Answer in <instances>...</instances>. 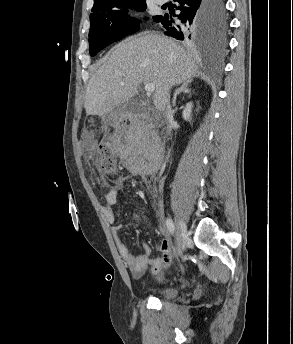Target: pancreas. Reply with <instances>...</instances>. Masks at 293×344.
Wrapping results in <instances>:
<instances>
[{
    "label": "pancreas",
    "instance_id": "cf45deb5",
    "mask_svg": "<svg viewBox=\"0 0 293 344\" xmlns=\"http://www.w3.org/2000/svg\"><path fill=\"white\" fill-rule=\"evenodd\" d=\"M142 134H143V131L139 129V130L135 131L133 135H134V138H136V137L141 138Z\"/></svg>",
    "mask_w": 293,
    "mask_h": 344
}]
</instances>
